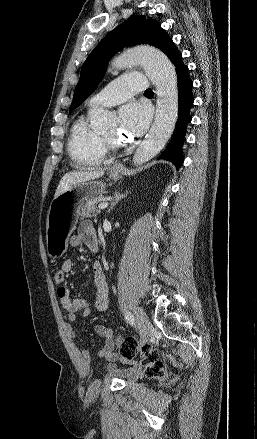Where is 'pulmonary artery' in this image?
I'll return each mask as SVG.
<instances>
[{"instance_id":"e3ab8cb5","label":"pulmonary artery","mask_w":257,"mask_h":439,"mask_svg":"<svg viewBox=\"0 0 257 439\" xmlns=\"http://www.w3.org/2000/svg\"><path fill=\"white\" fill-rule=\"evenodd\" d=\"M147 86V78L142 73L125 74L93 95L89 100L88 106L117 105L135 93L146 91L148 89Z\"/></svg>"}]
</instances>
